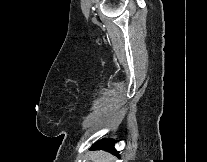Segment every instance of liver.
<instances>
[{
	"mask_svg": "<svg viewBox=\"0 0 207 162\" xmlns=\"http://www.w3.org/2000/svg\"><path fill=\"white\" fill-rule=\"evenodd\" d=\"M91 160L92 162H113L115 157L107 152L97 151L92 153Z\"/></svg>",
	"mask_w": 207,
	"mask_h": 162,
	"instance_id": "6515ba94",
	"label": "liver"
}]
</instances>
